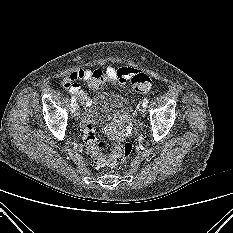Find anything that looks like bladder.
Returning a JSON list of instances; mask_svg holds the SVG:
<instances>
[{
    "mask_svg": "<svg viewBox=\"0 0 233 233\" xmlns=\"http://www.w3.org/2000/svg\"><path fill=\"white\" fill-rule=\"evenodd\" d=\"M130 112L131 104L125 97L110 92H98L88 106L87 116L95 124H105Z\"/></svg>",
    "mask_w": 233,
    "mask_h": 233,
    "instance_id": "31cf9c89",
    "label": "bladder"
}]
</instances>
